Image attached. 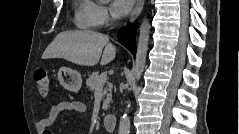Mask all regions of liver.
<instances>
[{"instance_id":"liver-1","label":"liver","mask_w":239,"mask_h":134,"mask_svg":"<svg viewBox=\"0 0 239 134\" xmlns=\"http://www.w3.org/2000/svg\"><path fill=\"white\" fill-rule=\"evenodd\" d=\"M105 47L103 54L102 50ZM116 47L109 42L107 35L89 30L66 31L59 33L44 51L42 58H62L77 65H106L114 60Z\"/></svg>"}]
</instances>
